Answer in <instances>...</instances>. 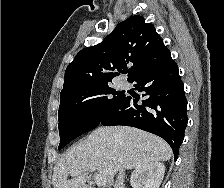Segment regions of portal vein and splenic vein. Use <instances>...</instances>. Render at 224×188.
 Returning <instances> with one entry per match:
<instances>
[{"label": "portal vein and splenic vein", "mask_w": 224, "mask_h": 188, "mask_svg": "<svg viewBox=\"0 0 224 188\" xmlns=\"http://www.w3.org/2000/svg\"><path fill=\"white\" fill-rule=\"evenodd\" d=\"M96 170L95 167H89L88 169H86V171H89V172H94ZM78 173L80 172H73L71 175H77ZM94 179H95V182H96V185L99 186V187H102V186H105L107 184V178L101 174H96L94 176Z\"/></svg>", "instance_id": "obj_1"}]
</instances>
